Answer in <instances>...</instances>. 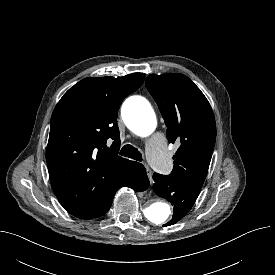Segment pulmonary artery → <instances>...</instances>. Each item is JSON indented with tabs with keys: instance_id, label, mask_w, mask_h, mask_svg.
Listing matches in <instances>:
<instances>
[{
	"instance_id": "1",
	"label": "pulmonary artery",
	"mask_w": 275,
	"mask_h": 275,
	"mask_svg": "<svg viewBox=\"0 0 275 275\" xmlns=\"http://www.w3.org/2000/svg\"><path fill=\"white\" fill-rule=\"evenodd\" d=\"M147 155L151 165L160 172H166L169 166L166 142L162 134H155L146 143Z\"/></svg>"
}]
</instances>
